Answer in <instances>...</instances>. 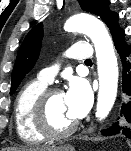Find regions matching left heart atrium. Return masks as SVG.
<instances>
[{"label": "left heart atrium", "mask_w": 131, "mask_h": 151, "mask_svg": "<svg viewBox=\"0 0 131 151\" xmlns=\"http://www.w3.org/2000/svg\"><path fill=\"white\" fill-rule=\"evenodd\" d=\"M64 97L69 115L74 120L82 118L89 110L91 92L85 82L81 80L72 82Z\"/></svg>", "instance_id": "obj_1"}]
</instances>
